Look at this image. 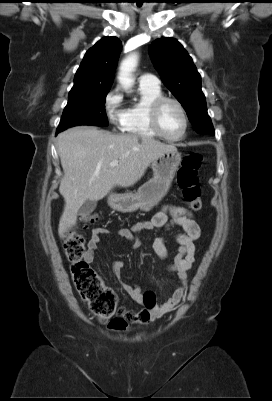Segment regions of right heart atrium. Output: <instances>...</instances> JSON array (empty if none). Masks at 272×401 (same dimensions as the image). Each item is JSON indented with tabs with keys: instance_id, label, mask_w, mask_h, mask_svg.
I'll return each instance as SVG.
<instances>
[{
	"instance_id": "1",
	"label": "right heart atrium",
	"mask_w": 272,
	"mask_h": 401,
	"mask_svg": "<svg viewBox=\"0 0 272 401\" xmlns=\"http://www.w3.org/2000/svg\"><path fill=\"white\" fill-rule=\"evenodd\" d=\"M104 110L109 122L115 127H121L124 121L125 109L123 96L119 88L110 90L104 98Z\"/></svg>"
}]
</instances>
